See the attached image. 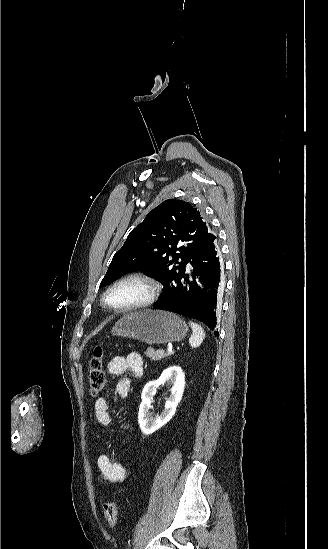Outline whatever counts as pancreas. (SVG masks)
<instances>
[{"mask_svg": "<svg viewBox=\"0 0 328 549\" xmlns=\"http://www.w3.org/2000/svg\"><path fill=\"white\" fill-rule=\"evenodd\" d=\"M145 355L146 357H151L152 361H161V359H164V357H170V355H174V353H165L163 349H159V351H154V349H147Z\"/></svg>", "mask_w": 328, "mask_h": 549, "instance_id": "cf45deb5", "label": "pancreas"}]
</instances>
